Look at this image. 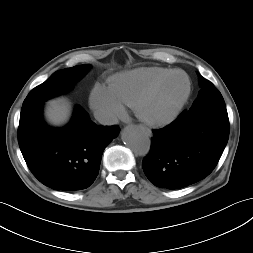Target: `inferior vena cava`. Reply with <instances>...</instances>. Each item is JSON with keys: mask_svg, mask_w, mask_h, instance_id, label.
<instances>
[{"mask_svg": "<svg viewBox=\"0 0 253 253\" xmlns=\"http://www.w3.org/2000/svg\"><path fill=\"white\" fill-rule=\"evenodd\" d=\"M94 117L102 125H113L118 123L117 117L111 112L98 110L94 112Z\"/></svg>", "mask_w": 253, "mask_h": 253, "instance_id": "1", "label": "inferior vena cava"}]
</instances>
